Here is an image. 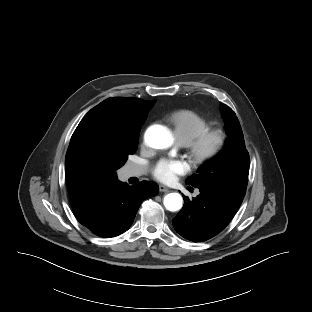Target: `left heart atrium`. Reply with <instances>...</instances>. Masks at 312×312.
<instances>
[{"label":"left heart atrium","instance_id":"obj_1","mask_svg":"<svg viewBox=\"0 0 312 312\" xmlns=\"http://www.w3.org/2000/svg\"><path fill=\"white\" fill-rule=\"evenodd\" d=\"M189 170V165L178 159H162L153 170V175L159 181L170 183L177 179L179 175L185 174Z\"/></svg>","mask_w":312,"mask_h":312}]
</instances>
